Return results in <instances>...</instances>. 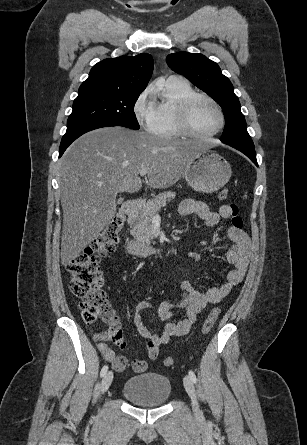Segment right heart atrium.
Instances as JSON below:
<instances>
[{
  "instance_id": "right-heart-atrium-1",
  "label": "right heart atrium",
  "mask_w": 307,
  "mask_h": 445,
  "mask_svg": "<svg viewBox=\"0 0 307 445\" xmlns=\"http://www.w3.org/2000/svg\"><path fill=\"white\" fill-rule=\"evenodd\" d=\"M154 100V90L150 87L146 88L133 106L134 117L140 127L144 129H153L156 121L155 111L152 107Z\"/></svg>"
}]
</instances>
